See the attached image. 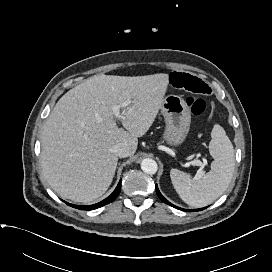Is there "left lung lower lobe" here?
<instances>
[{
  "instance_id": "0a47b994",
  "label": "left lung lower lobe",
  "mask_w": 272,
  "mask_h": 272,
  "mask_svg": "<svg viewBox=\"0 0 272 272\" xmlns=\"http://www.w3.org/2000/svg\"><path fill=\"white\" fill-rule=\"evenodd\" d=\"M156 192H157V195H158V197L164 202V203H166V204H168V205H170V206H173V207H175V208H177V209H180V210H183V211H199V210H203V209H205V208H202V209H188V210H186V209H182V208H179V207H176L175 205H173V204H171L169 201H167L163 196H162V194L159 192V190H158V187H157V185H156Z\"/></svg>"
}]
</instances>
